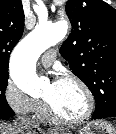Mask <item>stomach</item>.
I'll use <instances>...</instances> for the list:
<instances>
[{
  "label": "stomach",
  "instance_id": "obj_1",
  "mask_svg": "<svg viewBox=\"0 0 116 134\" xmlns=\"http://www.w3.org/2000/svg\"><path fill=\"white\" fill-rule=\"evenodd\" d=\"M60 134H71L69 132H61ZM79 134H116L114 127L104 120H95L89 122L81 129Z\"/></svg>",
  "mask_w": 116,
  "mask_h": 134
}]
</instances>
